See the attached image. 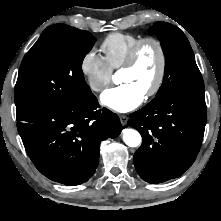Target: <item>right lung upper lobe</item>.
Listing matches in <instances>:
<instances>
[{
  "instance_id": "1",
  "label": "right lung upper lobe",
  "mask_w": 221,
  "mask_h": 221,
  "mask_svg": "<svg viewBox=\"0 0 221 221\" xmlns=\"http://www.w3.org/2000/svg\"><path fill=\"white\" fill-rule=\"evenodd\" d=\"M70 28H73V27H70V26L65 25V24H55V25L49 26L46 29H70Z\"/></svg>"
}]
</instances>
